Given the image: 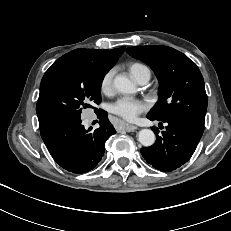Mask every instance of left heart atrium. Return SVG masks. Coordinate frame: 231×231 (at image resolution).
I'll return each instance as SVG.
<instances>
[{
	"label": "left heart atrium",
	"instance_id": "1",
	"mask_svg": "<svg viewBox=\"0 0 231 231\" xmlns=\"http://www.w3.org/2000/svg\"><path fill=\"white\" fill-rule=\"evenodd\" d=\"M146 109V104L131 97H122L111 106L114 114L128 121L135 120Z\"/></svg>",
	"mask_w": 231,
	"mask_h": 231
}]
</instances>
